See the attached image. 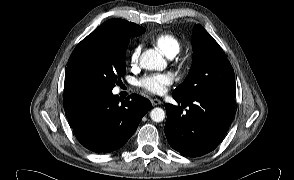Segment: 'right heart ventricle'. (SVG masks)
<instances>
[{"label":"right heart ventricle","mask_w":294,"mask_h":180,"mask_svg":"<svg viewBox=\"0 0 294 180\" xmlns=\"http://www.w3.org/2000/svg\"><path fill=\"white\" fill-rule=\"evenodd\" d=\"M151 42L167 57H174L181 50L180 41L169 33L158 34L152 38Z\"/></svg>","instance_id":"right-heart-ventricle-1"}]
</instances>
